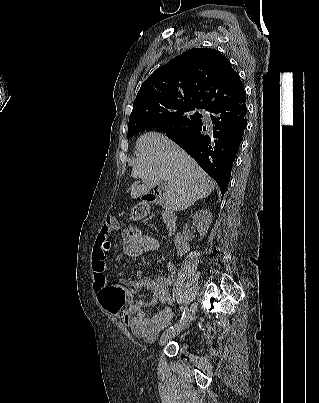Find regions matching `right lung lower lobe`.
I'll return each instance as SVG.
<instances>
[{"label":"right lung lower lobe","mask_w":319,"mask_h":403,"mask_svg":"<svg viewBox=\"0 0 319 403\" xmlns=\"http://www.w3.org/2000/svg\"><path fill=\"white\" fill-rule=\"evenodd\" d=\"M245 101L209 110L212 128H207L201 119L187 127L162 131L217 182L222 195L247 124Z\"/></svg>","instance_id":"98d812e1"}]
</instances>
